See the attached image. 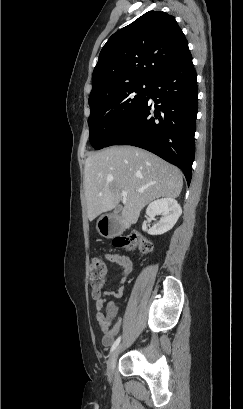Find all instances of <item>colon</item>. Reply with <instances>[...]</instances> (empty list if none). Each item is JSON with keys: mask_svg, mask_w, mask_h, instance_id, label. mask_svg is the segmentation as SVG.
<instances>
[{"mask_svg": "<svg viewBox=\"0 0 243 409\" xmlns=\"http://www.w3.org/2000/svg\"><path fill=\"white\" fill-rule=\"evenodd\" d=\"M112 245L117 249H133L138 247L140 252L148 253L152 250L153 244L145 237L138 234H130L127 236H118L112 239ZM106 266L99 260L94 259L90 263L89 267V283L92 288V295L94 298L101 297V290L105 282ZM114 316H110L105 319V324H109L110 320Z\"/></svg>", "mask_w": 243, "mask_h": 409, "instance_id": "5ec220e1", "label": "colon"}]
</instances>
